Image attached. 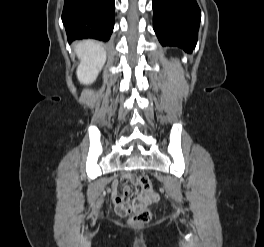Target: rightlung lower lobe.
Returning <instances> with one entry per match:
<instances>
[{
	"label": "right lung lower lobe",
	"instance_id": "1",
	"mask_svg": "<svg viewBox=\"0 0 264 247\" xmlns=\"http://www.w3.org/2000/svg\"><path fill=\"white\" fill-rule=\"evenodd\" d=\"M115 0H65L62 21L69 43L87 38L108 41L114 27Z\"/></svg>",
	"mask_w": 264,
	"mask_h": 247
}]
</instances>
